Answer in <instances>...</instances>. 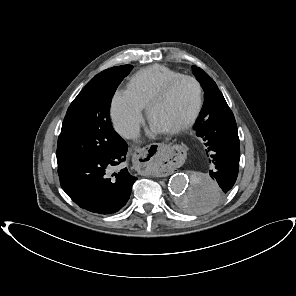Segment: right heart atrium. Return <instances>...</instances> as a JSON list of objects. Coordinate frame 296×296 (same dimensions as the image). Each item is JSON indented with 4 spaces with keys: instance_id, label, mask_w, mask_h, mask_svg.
Returning a JSON list of instances; mask_svg holds the SVG:
<instances>
[{
    "instance_id": "obj_1",
    "label": "right heart atrium",
    "mask_w": 296,
    "mask_h": 296,
    "mask_svg": "<svg viewBox=\"0 0 296 296\" xmlns=\"http://www.w3.org/2000/svg\"><path fill=\"white\" fill-rule=\"evenodd\" d=\"M110 116L115 129L124 137L132 138L143 122V108L127 90H117L111 100Z\"/></svg>"
}]
</instances>
